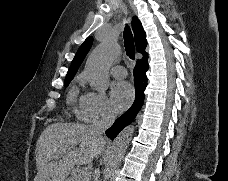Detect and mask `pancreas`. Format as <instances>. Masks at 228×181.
Listing matches in <instances>:
<instances>
[{"instance_id":"cf45deb5","label":"pancreas","mask_w":228,"mask_h":181,"mask_svg":"<svg viewBox=\"0 0 228 181\" xmlns=\"http://www.w3.org/2000/svg\"><path fill=\"white\" fill-rule=\"evenodd\" d=\"M80 173V169H73V171H71V177H69L68 181H89L90 175L87 179H85L86 175H80ZM79 177H83V179H79Z\"/></svg>"}]
</instances>
